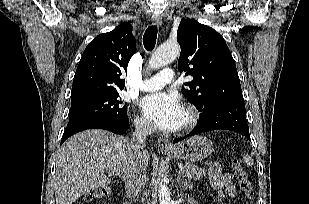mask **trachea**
<instances>
[{"label": "trachea", "instance_id": "trachea-1", "mask_svg": "<svg viewBox=\"0 0 309 204\" xmlns=\"http://www.w3.org/2000/svg\"><path fill=\"white\" fill-rule=\"evenodd\" d=\"M157 26H150L144 33L143 44L146 50L151 51L154 49L157 38Z\"/></svg>", "mask_w": 309, "mask_h": 204}]
</instances>
